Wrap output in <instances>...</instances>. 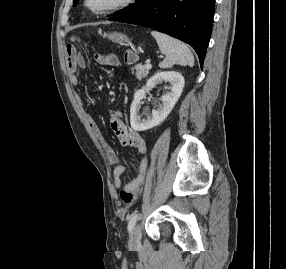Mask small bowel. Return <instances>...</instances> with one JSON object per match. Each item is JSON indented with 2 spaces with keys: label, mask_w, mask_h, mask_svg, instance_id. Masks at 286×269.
<instances>
[{
  "label": "small bowel",
  "mask_w": 286,
  "mask_h": 269,
  "mask_svg": "<svg viewBox=\"0 0 286 269\" xmlns=\"http://www.w3.org/2000/svg\"><path fill=\"white\" fill-rule=\"evenodd\" d=\"M96 62L108 66H118L120 63L118 57L114 53L98 54L96 55ZM66 64L69 72L70 82L73 85H77L79 83L78 70L86 68L87 63L84 56L79 54L73 45H69L66 48ZM85 120L89 128L95 134L100 135L99 127L93 116L86 113ZM110 125L119 140L123 144L135 148L141 158L138 166L137 176L127 184L123 185L121 176L127 171V166L119 164V157L112 148H108L107 150V161L110 165H114V187L116 190L121 192H130L131 201L126 203H132L133 199L136 198L140 193L148 168L146 140L140 133L128 127L120 112H115L111 115Z\"/></svg>",
  "instance_id": "small-bowel-1"
}]
</instances>
